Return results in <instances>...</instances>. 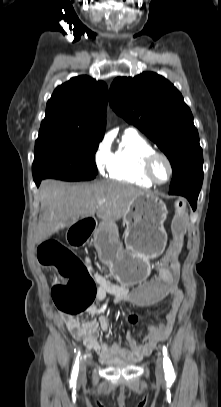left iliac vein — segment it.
I'll return each mask as SVG.
<instances>
[{
	"mask_svg": "<svg viewBox=\"0 0 221 407\" xmlns=\"http://www.w3.org/2000/svg\"><path fill=\"white\" fill-rule=\"evenodd\" d=\"M156 376L159 379H162L164 376V368H163V356L162 354H158L157 361H156V369H155Z\"/></svg>",
	"mask_w": 221,
	"mask_h": 407,
	"instance_id": "1",
	"label": "left iliac vein"
}]
</instances>
